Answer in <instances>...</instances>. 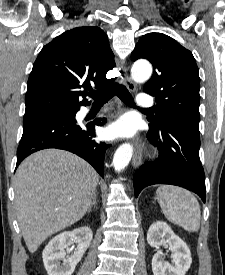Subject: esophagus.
Wrapping results in <instances>:
<instances>
[{"instance_id":"esophagus-1","label":"esophagus","mask_w":225,"mask_h":275,"mask_svg":"<svg viewBox=\"0 0 225 275\" xmlns=\"http://www.w3.org/2000/svg\"><path fill=\"white\" fill-rule=\"evenodd\" d=\"M125 84L130 91H135V84L128 75V69L125 67ZM142 161V148L140 143H136L135 152L133 155L132 164L134 167H139Z\"/></svg>"}]
</instances>
